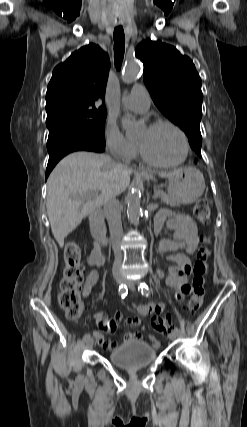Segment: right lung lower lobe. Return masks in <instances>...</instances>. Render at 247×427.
<instances>
[{
  "label": "right lung lower lobe",
  "instance_id": "1",
  "mask_svg": "<svg viewBox=\"0 0 247 427\" xmlns=\"http://www.w3.org/2000/svg\"><path fill=\"white\" fill-rule=\"evenodd\" d=\"M47 150L49 160L46 169V179L57 162L65 155L74 151L103 152L105 145H101L90 138L65 129L49 131Z\"/></svg>",
  "mask_w": 247,
  "mask_h": 427
}]
</instances>
